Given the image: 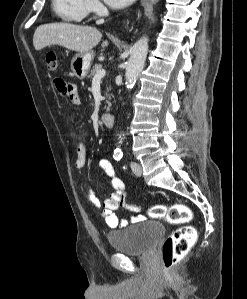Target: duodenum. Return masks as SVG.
<instances>
[{"instance_id":"duodenum-1","label":"duodenum","mask_w":247,"mask_h":299,"mask_svg":"<svg viewBox=\"0 0 247 299\" xmlns=\"http://www.w3.org/2000/svg\"><path fill=\"white\" fill-rule=\"evenodd\" d=\"M101 121L106 127H112L114 124V116L111 113H103L101 115Z\"/></svg>"}]
</instances>
